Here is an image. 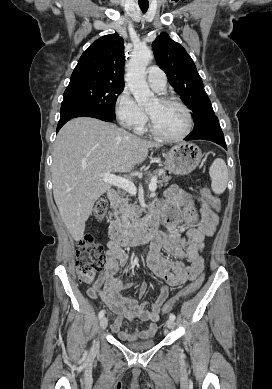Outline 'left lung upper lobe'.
<instances>
[{
	"mask_svg": "<svg viewBox=\"0 0 272 389\" xmlns=\"http://www.w3.org/2000/svg\"><path fill=\"white\" fill-rule=\"evenodd\" d=\"M159 67L166 73L169 83L181 96L183 103L192 110L194 129H199L216 116L204 90L196 66L186 50L161 33L152 43Z\"/></svg>",
	"mask_w": 272,
	"mask_h": 389,
	"instance_id": "1",
	"label": "left lung upper lobe"
}]
</instances>
